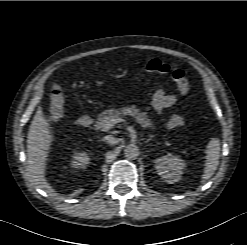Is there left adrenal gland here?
Wrapping results in <instances>:
<instances>
[{
  "label": "left adrenal gland",
  "instance_id": "a2214340",
  "mask_svg": "<svg viewBox=\"0 0 247 245\" xmlns=\"http://www.w3.org/2000/svg\"><path fill=\"white\" fill-rule=\"evenodd\" d=\"M154 136L153 135H150V138H148L147 140H145L144 142L145 143H148V142H150L151 140H152V138H153Z\"/></svg>",
  "mask_w": 247,
  "mask_h": 245
}]
</instances>
